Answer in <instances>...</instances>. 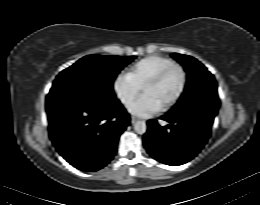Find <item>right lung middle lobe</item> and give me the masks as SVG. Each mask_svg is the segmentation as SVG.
Segmentation results:
<instances>
[{
    "label": "right lung middle lobe",
    "mask_w": 260,
    "mask_h": 205,
    "mask_svg": "<svg viewBox=\"0 0 260 205\" xmlns=\"http://www.w3.org/2000/svg\"><path fill=\"white\" fill-rule=\"evenodd\" d=\"M135 56L88 55L63 70L52 89L67 87L91 94L105 101H115L113 81Z\"/></svg>",
    "instance_id": "dd1d6c3e"
}]
</instances>
